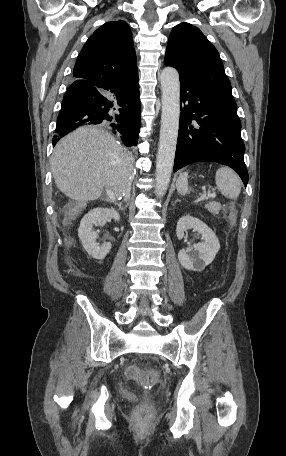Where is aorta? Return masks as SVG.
I'll return each instance as SVG.
<instances>
[{
	"mask_svg": "<svg viewBox=\"0 0 286 456\" xmlns=\"http://www.w3.org/2000/svg\"><path fill=\"white\" fill-rule=\"evenodd\" d=\"M162 115L156 159L157 197L166 193L173 170L180 117V81L177 70L165 67L160 74Z\"/></svg>",
	"mask_w": 286,
	"mask_h": 456,
	"instance_id": "1",
	"label": "aorta"
}]
</instances>
